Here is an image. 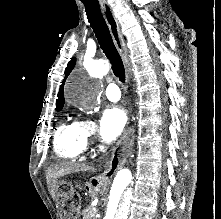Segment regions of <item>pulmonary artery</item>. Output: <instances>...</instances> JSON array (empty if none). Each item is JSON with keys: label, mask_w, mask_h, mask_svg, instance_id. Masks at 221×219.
Segmentation results:
<instances>
[{"label": "pulmonary artery", "mask_w": 221, "mask_h": 219, "mask_svg": "<svg viewBox=\"0 0 221 219\" xmlns=\"http://www.w3.org/2000/svg\"><path fill=\"white\" fill-rule=\"evenodd\" d=\"M105 95L110 101H118L121 98V93L118 86L114 83L109 84L105 89Z\"/></svg>", "instance_id": "1"}]
</instances>
